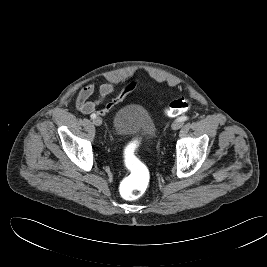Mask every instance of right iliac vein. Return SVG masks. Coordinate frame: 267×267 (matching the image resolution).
I'll return each mask as SVG.
<instances>
[{"label": "right iliac vein", "mask_w": 267, "mask_h": 267, "mask_svg": "<svg viewBox=\"0 0 267 267\" xmlns=\"http://www.w3.org/2000/svg\"><path fill=\"white\" fill-rule=\"evenodd\" d=\"M93 124L95 126H100L102 124V119L100 117H96L94 120H93Z\"/></svg>", "instance_id": "right-iliac-vein-1"}]
</instances>
